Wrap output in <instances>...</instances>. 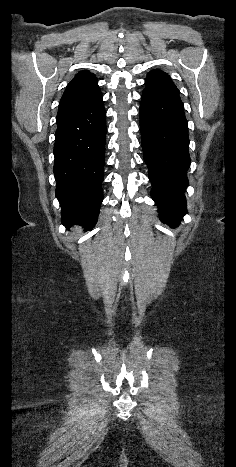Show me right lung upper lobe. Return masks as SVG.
I'll use <instances>...</instances> for the list:
<instances>
[{
  "instance_id": "right-lung-upper-lobe-1",
  "label": "right lung upper lobe",
  "mask_w": 236,
  "mask_h": 467,
  "mask_svg": "<svg viewBox=\"0 0 236 467\" xmlns=\"http://www.w3.org/2000/svg\"><path fill=\"white\" fill-rule=\"evenodd\" d=\"M95 74L79 72L66 87L58 108L57 120L74 115L101 98Z\"/></svg>"
}]
</instances>
